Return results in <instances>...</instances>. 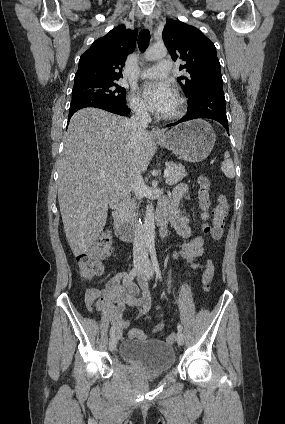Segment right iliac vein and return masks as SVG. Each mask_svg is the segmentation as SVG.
I'll return each instance as SVG.
<instances>
[{
	"label": "right iliac vein",
	"mask_w": 285,
	"mask_h": 424,
	"mask_svg": "<svg viewBox=\"0 0 285 424\" xmlns=\"http://www.w3.org/2000/svg\"><path fill=\"white\" fill-rule=\"evenodd\" d=\"M134 267L137 269V274L141 273L142 266H141V257L140 256L135 258ZM117 339H118L117 335L114 334V335L111 336V338L109 340V349L112 352L116 349Z\"/></svg>",
	"instance_id": "obj_1"
}]
</instances>
